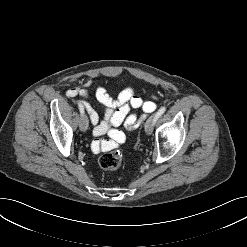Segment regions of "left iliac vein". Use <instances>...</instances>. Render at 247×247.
I'll list each match as a JSON object with an SVG mask.
<instances>
[{"instance_id":"obj_1","label":"left iliac vein","mask_w":247,"mask_h":247,"mask_svg":"<svg viewBox=\"0 0 247 247\" xmlns=\"http://www.w3.org/2000/svg\"><path fill=\"white\" fill-rule=\"evenodd\" d=\"M155 115L150 116L145 123V132L150 135L153 131V127L155 125Z\"/></svg>"}]
</instances>
